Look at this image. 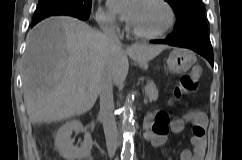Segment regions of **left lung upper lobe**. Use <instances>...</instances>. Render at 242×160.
<instances>
[{
	"mask_svg": "<svg viewBox=\"0 0 242 160\" xmlns=\"http://www.w3.org/2000/svg\"><path fill=\"white\" fill-rule=\"evenodd\" d=\"M174 10L177 23L169 36L181 38L198 32H208L201 0H166Z\"/></svg>",
	"mask_w": 242,
	"mask_h": 160,
	"instance_id": "obj_1",
	"label": "left lung upper lobe"
}]
</instances>
